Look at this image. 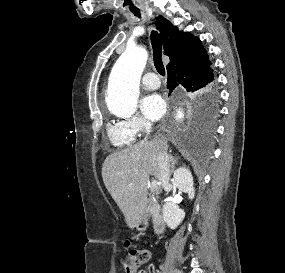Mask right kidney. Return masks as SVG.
Masks as SVG:
<instances>
[{"label":"right kidney","instance_id":"obj_1","mask_svg":"<svg viewBox=\"0 0 285 273\" xmlns=\"http://www.w3.org/2000/svg\"><path fill=\"white\" fill-rule=\"evenodd\" d=\"M174 180L180 191L187 193L189 199L194 198L195 190L193 187V177L188 169L183 167L178 168L174 172ZM184 217L185 212L175 203L167 202L163 206V219L169 228H177Z\"/></svg>","mask_w":285,"mask_h":273}]
</instances>
